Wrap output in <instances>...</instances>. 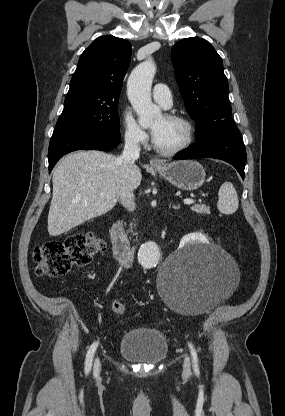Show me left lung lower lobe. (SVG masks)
<instances>
[{
	"label": "left lung lower lobe",
	"instance_id": "left-lung-lower-lobe-1",
	"mask_svg": "<svg viewBox=\"0 0 285 416\" xmlns=\"http://www.w3.org/2000/svg\"><path fill=\"white\" fill-rule=\"evenodd\" d=\"M173 158L176 160L193 158L224 160L233 165L244 179L246 149L237 128L208 134Z\"/></svg>",
	"mask_w": 285,
	"mask_h": 416
}]
</instances>
